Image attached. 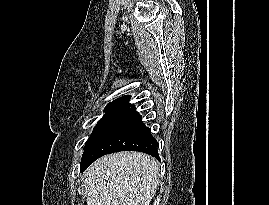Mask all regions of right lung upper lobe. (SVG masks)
<instances>
[{
  "label": "right lung upper lobe",
  "instance_id": "right-lung-upper-lobe-1",
  "mask_svg": "<svg viewBox=\"0 0 269 205\" xmlns=\"http://www.w3.org/2000/svg\"><path fill=\"white\" fill-rule=\"evenodd\" d=\"M129 100H130V96L126 95L109 103L107 107H122V108L128 109L133 106L132 104L128 102Z\"/></svg>",
  "mask_w": 269,
  "mask_h": 205
}]
</instances>
